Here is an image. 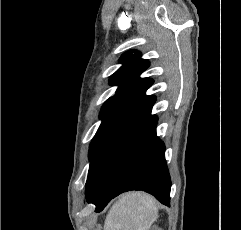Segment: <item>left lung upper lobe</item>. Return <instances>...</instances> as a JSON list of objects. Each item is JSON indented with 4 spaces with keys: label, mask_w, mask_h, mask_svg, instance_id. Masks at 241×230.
Listing matches in <instances>:
<instances>
[{
    "label": "left lung upper lobe",
    "mask_w": 241,
    "mask_h": 230,
    "mask_svg": "<svg viewBox=\"0 0 241 230\" xmlns=\"http://www.w3.org/2000/svg\"><path fill=\"white\" fill-rule=\"evenodd\" d=\"M132 53L133 50L122 55L119 62L123 65L110 77V85L119 87L101 109L102 123L90 144L89 160L105 142L138 117L156 99L153 95H145L153 80L139 77L149 67L148 60L141 59L139 52H135V55Z\"/></svg>",
    "instance_id": "obj_1"
}]
</instances>
